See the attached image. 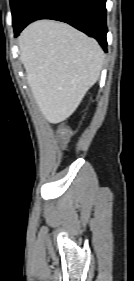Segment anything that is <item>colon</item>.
<instances>
[{
    "label": "colon",
    "instance_id": "colon-1",
    "mask_svg": "<svg viewBox=\"0 0 134 281\" xmlns=\"http://www.w3.org/2000/svg\"><path fill=\"white\" fill-rule=\"evenodd\" d=\"M59 132L64 138V141L67 142L70 136L69 131L65 127H60Z\"/></svg>",
    "mask_w": 134,
    "mask_h": 281
}]
</instances>
